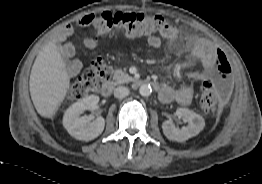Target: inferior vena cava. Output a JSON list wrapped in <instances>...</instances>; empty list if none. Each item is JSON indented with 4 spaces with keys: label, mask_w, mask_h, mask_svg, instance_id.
<instances>
[{
    "label": "inferior vena cava",
    "mask_w": 262,
    "mask_h": 184,
    "mask_svg": "<svg viewBox=\"0 0 262 184\" xmlns=\"http://www.w3.org/2000/svg\"><path fill=\"white\" fill-rule=\"evenodd\" d=\"M129 89L124 86H119L114 90V96L118 99H122L129 95Z\"/></svg>",
    "instance_id": "602c4592"
}]
</instances>
